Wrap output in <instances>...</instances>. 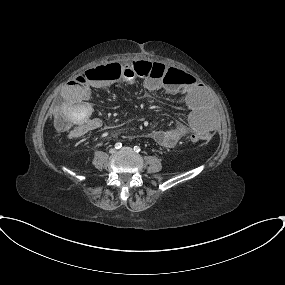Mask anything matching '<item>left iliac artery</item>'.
Instances as JSON below:
<instances>
[{
	"label": "left iliac artery",
	"instance_id": "44dca946",
	"mask_svg": "<svg viewBox=\"0 0 285 285\" xmlns=\"http://www.w3.org/2000/svg\"><path fill=\"white\" fill-rule=\"evenodd\" d=\"M134 151L138 153V152H140V151H141V149H140V147H139V146H134Z\"/></svg>",
	"mask_w": 285,
	"mask_h": 285
}]
</instances>
